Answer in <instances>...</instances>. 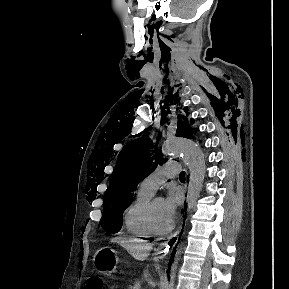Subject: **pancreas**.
<instances>
[{"instance_id":"pancreas-1","label":"pancreas","mask_w":289,"mask_h":289,"mask_svg":"<svg viewBox=\"0 0 289 289\" xmlns=\"http://www.w3.org/2000/svg\"><path fill=\"white\" fill-rule=\"evenodd\" d=\"M142 280H136L133 285L129 286V289H141Z\"/></svg>"}]
</instances>
